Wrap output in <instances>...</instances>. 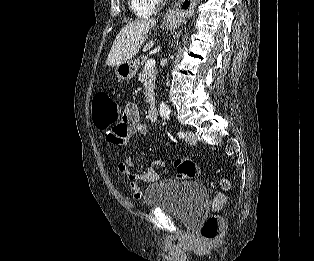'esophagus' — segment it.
<instances>
[{
	"label": "esophagus",
	"instance_id": "esophagus-1",
	"mask_svg": "<svg viewBox=\"0 0 314 261\" xmlns=\"http://www.w3.org/2000/svg\"><path fill=\"white\" fill-rule=\"evenodd\" d=\"M193 1H195V0H193ZM189 10H192V11L194 10V4H193V6L190 7ZM178 13H181L180 10H178V9H177V10H171V11H169V12L166 14V16L177 15Z\"/></svg>",
	"mask_w": 314,
	"mask_h": 261
}]
</instances>
